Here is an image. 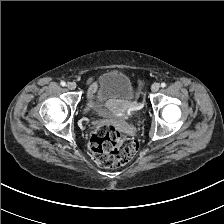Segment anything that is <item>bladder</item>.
<instances>
[{
	"mask_svg": "<svg viewBox=\"0 0 224 224\" xmlns=\"http://www.w3.org/2000/svg\"><path fill=\"white\" fill-rule=\"evenodd\" d=\"M96 111L98 113H121L138 110L130 77L116 70L103 73L98 80L95 93ZM120 103L123 107L112 108L111 104Z\"/></svg>",
	"mask_w": 224,
	"mask_h": 224,
	"instance_id": "bladder-1",
	"label": "bladder"
}]
</instances>
